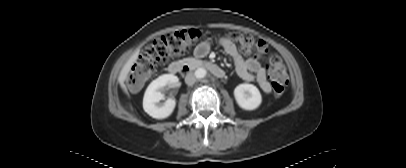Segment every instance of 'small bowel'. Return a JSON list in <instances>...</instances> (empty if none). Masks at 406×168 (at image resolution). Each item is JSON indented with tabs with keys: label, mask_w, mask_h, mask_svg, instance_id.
I'll list each match as a JSON object with an SVG mask.
<instances>
[{
	"label": "small bowel",
	"mask_w": 406,
	"mask_h": 168,
	"mask_svg": "<svg viewBox=\"0 0 406 168\" xmlns=\"http://www.w3.org/2000/svg\"><path fill=\"white\" fill-rule=\"evenodd\" d=\"M218 43L232 57L236 73L240 78L248 82L256 81L263 92L270 93L271 86L267 80L266 70L257 59L244 58L237 46L228 38H219ZM209 49L210 43L203 42L195 49V55L204 57Z\"/></svg>",
	"instance_id": "small-bowel-1"
}]
</instances>
